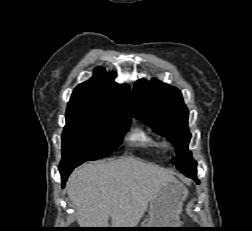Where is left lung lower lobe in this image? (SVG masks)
<instances>
[{"label": "left lung lower lobe", "instance_id": "left-lung-lower-lobe-1", "mask_svg": "<svg viewBox=\"0 0 252 231\" xmlns=\"http://www.w3.org/2000/svg\"><path fill=\"white\" fill-rule=\"evenodd\" d=\"M187 176H189L190 178L194 179L196 182H198V179L196 177V173H197V170H190V171H185V172H181Z\"/></svg>", "mask_w": 252, "mask_h": 231}]
</instances>
